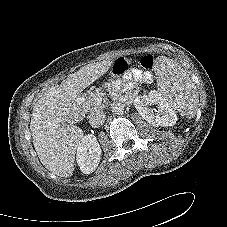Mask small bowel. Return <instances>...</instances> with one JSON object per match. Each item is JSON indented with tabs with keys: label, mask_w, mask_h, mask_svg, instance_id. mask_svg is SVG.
<instances>
[{
	"label": "small bowel",
	"mask_w": 227,
	"mask_h": 227,
	"mask_svg": "<svg viewBox=\"0 0 227 227\" xmlns=\"http://www.w3.org/2000/svg\"><path fill=\"white\" fill-rule=\"evenodd\" d=\"M133 77L138 81H150L151 74L149 72H142L139 69L133 70Z\"/></svg>",
	"instance_id": "small-bowel-1"
}]
</instances>
